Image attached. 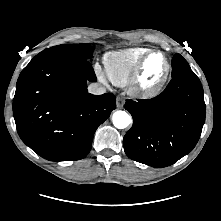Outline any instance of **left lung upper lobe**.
Instances as JSON below:
<instances>
[{"instance_id":"obj_1","label":"left lung upper lobe","mask_w":221,"mask_h":221,"mask_svg":"<svg viewBox=\"0 0 221 221\" xmlns=\"http://www.w3.org/2000/svg\"><path fill=\"white\" fill-rule=\"evenodd\" d=\"M185 71H191L190 66L180 54H175L172 60V77H175Z\"/></svg>"}]
</instances>
